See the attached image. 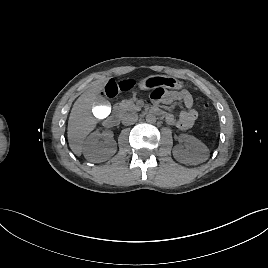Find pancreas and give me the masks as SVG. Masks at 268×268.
<instances>
[{
	"label": "pancreas",
	"mask_w": 268,
	"mask_h": 268,
	"mask_svg": "<svg viewBox=\"0 0 268 268\" xmlns=\"http://www.w3.org/2000/svg\"><path fill=\"white\" fill-rule=\"evenodd\" d=\"M143 106V103H134L132 100H123L117 104V108L121 112L139 110Z\"/></svg>",
	"instance_id": "pancreas-1"
}]
</instances>
